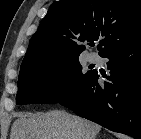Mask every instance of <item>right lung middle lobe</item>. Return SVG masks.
<instances>
[{"label":"right lung middle lobe","mask_w":141,"mask_h":139,"mask_svg":"<svg viewBox=\"0 0 141 139\" xmlns=\"http://www.w3.org/2000/svg\"><path fill=\"white\" fill-rule=\"evenodd\" d=\"M93 72L83 74L78 58L21 69L16 104L59 103L79 89Z\"/></svg>","instance_id":"right-lung-middle-lobe-1"}]
</instances>
